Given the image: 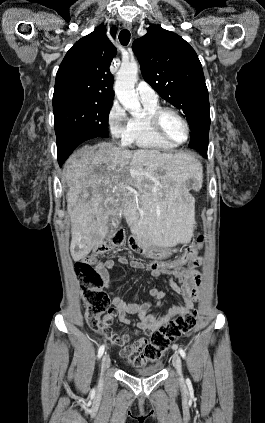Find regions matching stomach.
Wrapping results in <instances>:
<instances>
[{
    "mask_svg": "<svg viewBox=\"0 0 265 423\" xmlns=\"http://www.w3.org/2000/svg\"><path fill=\"white\" fill-rule=\"evenodd\" d=\"M139 246L142 249V252L146 257L151 259H164L170 256L172 253H177V249H170L166 247H157L151 244H148L144 241L138 242Z\"/></svg>",
    "mask_w": 265,
    "mask_h": 423,
    "instance_id": "1",
    "label": "stomach"
}]
</instances>
